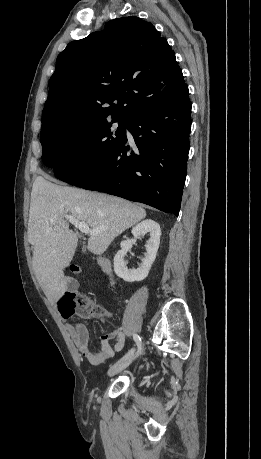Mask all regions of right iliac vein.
I'll list each match as a JSON object with an SVG mask.
<instances>
[{"instance_id": "right-iliac-vein-1", "label": "right iliac vein", "mask_w": 261, "mask_h": 459, "mask_svg": "<svg viewBox=\"0 0 261 459\" xmlns=\"http://www.w3.org/2000/svg\"><path fill=\"white\" fill-rule=\"evenodd\" d=\"M134 350H132V353L131 355L125 359V360H119L117 363H115L109 370H108V375L109 376H114L118 373H120L121 371H123L126 367L129 366V364L132 362L133 360V356H134Z\"/></svg>"}]
</instances>
